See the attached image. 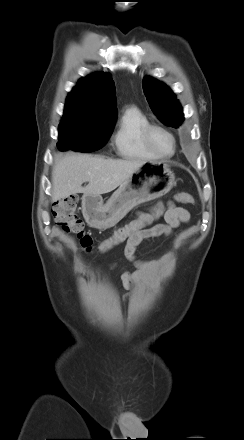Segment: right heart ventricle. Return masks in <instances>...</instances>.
Returning a JSON list of instances; mask_svg holds the SVG:
<instances>
[{
  "label": "right heart ventricle",
  "mask_w": 244,
  "mask_h": 440,
  "mask_svg": "<svg viewBox=\"0 0 244 440\" xmlns=\"http://www.w3.org/2000/svg\"><path fill=\"white\" fill-rule=\"evenodd\" d=\"M150 124L148 118L137 108L126 109L120 116L113 135L117 154L130 159H155L143 144L142 130Z\"/></svg>",
  "instance_id": "e07e8e85"
}]
</instances>
